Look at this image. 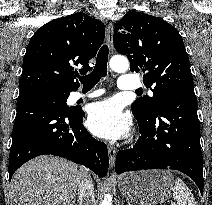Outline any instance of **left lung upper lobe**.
Segmentation results:
<instances>
[{
  "mask_svg": "<svg viewBox=\"0 0 212 205\" xmlns=\"http://www.w3.org/2000/svg\"><path fill=\"white\" fill-rule=\"evenodd\" d=\"M114 46L130 60L132 72H143L153 96L137 99L131 106L142 120L157 113L170 99L195 96L189 57L178 31L161 18L128 12L114 29Z\"/></svg>",
  "mask_w": 212,
  "mask_h": 205,
  "instance_id": "left-lung-upper-lobe-1",
  "label": "left lung upper lobe"
}]
</instances>
